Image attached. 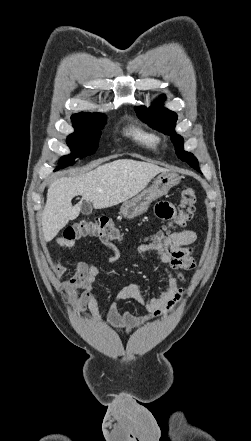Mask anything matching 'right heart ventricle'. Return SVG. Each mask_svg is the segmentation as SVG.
Returning a JSON list of instances; mask_svg holds the SVG:
<instances>
[{"label":"right heart ventricle","mask_w":251,"mask_h":441,"mask_svg":"<svg viewBox=\"0 0 251 441\" xmlns=\"http://www.w3.org/2000/svg\"><path fill=\"white\" fill-rule=\"evenodd\" d=\"M125 135L139 145L152 150H155L160 143V137L155 132L146 129L136 121L129 124Z\"/></svg>","instance_id":"right-heart-ventricle-1"}]
</instances>
